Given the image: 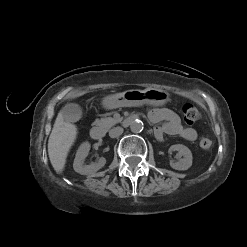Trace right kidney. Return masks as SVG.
Returning a JSON list of instances; mask_svg holds the SVG:
<instances>
[{
    "instance_id": "right-kidney-1",
    "label": "right kidney",
    "mask_w": 247,
    "mask_h": 247,
    "mask_svg": "<svg viewBox=\"0 0 247 247\" xmlns=\"http://www.w3.org/2000/svg\"><path fill=\"white\" fill-rule=\"evenodd\" d=\"M89 150L90 144L88 142L82 143L79 149L77 150L76 157L73 163V168L79 174L92 175L96 173L99 169H101L106 163V159L104 157H101L97 162H94L90 165H84V160L87 157Z\"/></svg>"
}]
</instances>
